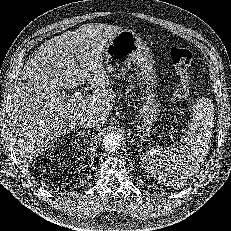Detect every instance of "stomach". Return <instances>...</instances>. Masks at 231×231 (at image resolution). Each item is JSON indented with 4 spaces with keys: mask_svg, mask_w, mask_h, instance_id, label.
Here are the masks:
<instances>
[{
    "mask_svg": "<svg viewBox=\"0 0 231 231\" xmlns=\"http://www.w3.org/2000/svg\"><path fill=\"white\" fill-rule=\"evenodd\" d=\"M103 54L106 70L114 78L124 76L132 65L136 67L137 81L143 89L142 107L139 110L142 123L138 134L142 140H146L160 112L159 101L152 92L156 84L152 53L135 32L125 29L112 39Z\"/></svg>",
    "mask_w": 231,
    "mask_h": 231,
    "instance_id": "0dacf381",
    "label": "stomach"
}]
</instances>
